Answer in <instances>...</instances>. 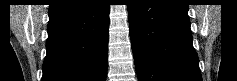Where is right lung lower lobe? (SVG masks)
<instances>
[{
  "label": "right lung lower lobe",
  "instance_id": "obj_1",
  "mask_svg": "<svg viewBox=\"0 0 237 81\" xmlns=\"http://www.w3.org/2000/svg\"><path fill=\"white\" fill-rule=\"evenodd\" d=\"M108 30L105 0L50 5L42 81H105Z\"/></svg>",
  "mask_w": 237,
  "mask_h": 81
}]
</instances>
